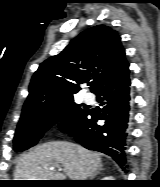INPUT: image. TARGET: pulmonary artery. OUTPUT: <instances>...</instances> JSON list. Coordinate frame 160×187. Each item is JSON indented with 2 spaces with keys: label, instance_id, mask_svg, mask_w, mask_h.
Segmentation results:
<instances>
[{
  "label": "pulmonary artery",
  "instance_id": "obj_1",
  "mask_svg": "<svg viewBox=\"0 0 160 187\" xmlns=\"http://www.w3.org/2000/svg\"><path fill=\"white\" fill-rule=\"evenodd\" d=\"M83 100L86 103H92L93 102V97L90 94H86V95L83 96Z\"/></svg>",
  "mask_w": 160,
  "mask_h": 187
}]
</instances>
